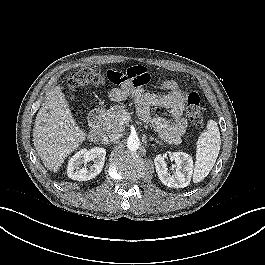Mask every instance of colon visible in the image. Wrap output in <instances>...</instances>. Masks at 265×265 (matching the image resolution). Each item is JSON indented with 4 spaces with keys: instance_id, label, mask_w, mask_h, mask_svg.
Segmentation results:
<instances>
[{
    "instance_id": "obj_1",
    "label": "colon",
    "mask_w": 265,
    "mask_h": 265,
    "mask_svg": "<svg viewBox=\"0 0 265 265\" xmlns=\"http://www.w3.org/2000/svg\"><path fill=\"white\" fill-rule=\"evenodd\" d=\"M128 81L136 85L146 84L139 73L132 68L126 72H119L112 69L104 70L97 67H85L74 72L68 80V89L72 94L78 89L89 85H122ZM186 116L188 120L194 124H201L203 121V110L201 106L200 96L196 92H191L186 101Z\"/></svg>"
}]
</instances>
